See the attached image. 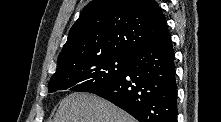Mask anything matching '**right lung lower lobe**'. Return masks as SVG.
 <instances>
[{
  "label": "right lung lower lobe",
  "instance_id": "obj_1",
  "mask_svg": "<svg viewBox=\"0 0 221 122\" xmlns=\"http://www.w3.org/2000/svg\"><path fill=\"white\" fill-rule=\"evenodd\" d=\"M174 58L166 28L131 57L123 74L91 93L107 99L140 122H176Z\"/></svg>",
  "mask_w": 221,
  "mask_h": 122
}]
</instances>
